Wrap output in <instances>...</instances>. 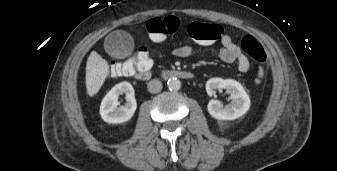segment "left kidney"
Wrapping results in <instances>:
<instances>
[{
    "instance_id": "left-kidney-1",
    "label": "left kidney",
    "mask_w": 337,
    "mask_h": 171,
    "mask_svg": "<svg viewBox=\"0 0 337 171\" xmlns=\"http://www.w3.org/2000/svg\"><path fill=\"white\" fill-rule=\"evenodd\" d=\"M222 89L230 94V104L223 106L220 101L212 99L207 106L209 114L218 120H235L244 115L250 107V98L243 86L233 79L211 78L206 82L209 96Z\"/></svg>"
}]
</instances>
